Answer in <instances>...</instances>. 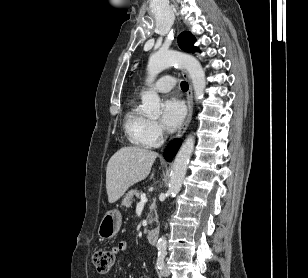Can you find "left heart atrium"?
Here are the masks:
<instances>
[{
	"mask_svg": "<svg viewBox=\"0 0 308 278\" xmlns=\"http://www.w3.org/2000/svg\"><path fill=\"white\" fill-rule=\"evenodd\" d=\"M186 111L183 103L170 98L162 106L161 123L170 132L175 131L183 122Z\"/></svg>",
	"mask_w": 308,
	"mask_h": 278,
	"instance_id": "1",
	"label": "left heart atrium"
}]
</instances>
